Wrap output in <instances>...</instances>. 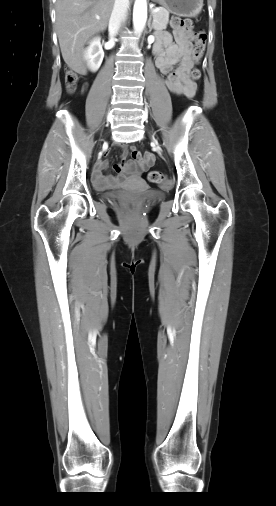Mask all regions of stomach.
I'll return each mask as SVG.
<instances>
[{
	"label": "stomach",
	"mask_w": 276,
	"mask_h": 506,
	"mask_svg": "<svg viewBox=\"0 0 276 506\" xmlns=\"http://www.w3.org/2000/svg\"><path fill=\"white\" fill-rule=\"evenodd\" d=\"M162 5L170 13L183 16L195 17L203 7V0H154Z\"/></svg>",
	"instance_id": "obj_1"
}]
</instances>
